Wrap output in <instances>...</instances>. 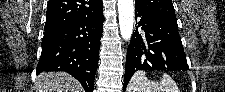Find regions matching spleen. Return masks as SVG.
Masks as SVG:
<instances>
[{
  "mask_svg": "<svg viewBox=\"0 0 225 92\" xmlns=\"http://www.w3.org/2000/svg\"><path fill=\"white\" fill-rule=\"evenodd\" d=\"M127 92H179V89L175 81L165 73L158 82L149 80L144 71H137L128 84Z\"/></svg>",
  "mask_w": 225,
  "mask_h": 92,
  "instance_id": "spleen-1",
  "label": "spleen"
}]
</instances>
